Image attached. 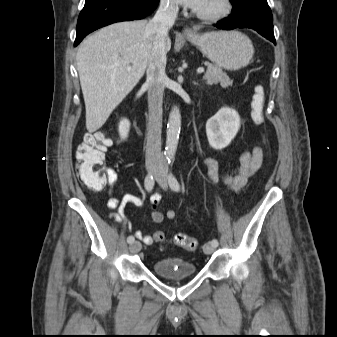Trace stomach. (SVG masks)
Returning a JSON list of instances; mask_svg holds the SVG:
<instances>
[{"label": "stomach", "mask_w": 337, "mask_h": 337, "mask_svg": "<svg viewBox=\"0 0 337 337\" xmlns=\"http://www.w3.org/2000/svg\"><path fill=\"white\" fill-rule=\"evenodd\" d=\"M186 37L211 62L226 70L246 67L254 54L250 39L238 31L194 33Z\"/></svg>", "instance_id": "1"}]
</instances>
